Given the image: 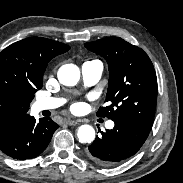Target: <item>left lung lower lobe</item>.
<instances>
[{
  "label": "left lung lower lobe",
  "instance_id": "left-lung-lower-lobe-1",
  "mask_svg": "<svg viewBox=\"0 0 183 183\" xmlns=\"http://www.w3.org/2000/svg\"><path fill=\"white\" fill-rule=\"evenodd\" d=\"M114 122V128L101 132L86 152L89 159L104 167L118 165L136 154L151 130L130 119Z\"/></svg>",
  "mask_w": 183,
  "mask_h": 183
}]
</instances>
